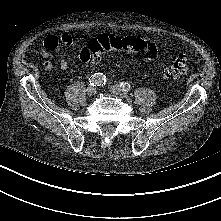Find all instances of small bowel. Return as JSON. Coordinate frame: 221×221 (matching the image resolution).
I'll list each match as a JSON object with an SVG mask.
<instances>
[{
    "mask_svg": "<svg viewBox=\"0 0 221 221\" xmlns=\"http://www.w3.org/2000/svg\"><path fill=\"white\" fill-rule=\"evenodd\" d=\"M83 41L84 39L79 40V42ZM60 43H63L70 47H73L75 45L73 39L68 35H61L58 37L48 36L44 39L41 55L45 58L43 64L45 69L52 70L54 68L55 62L53 61V51H55L58 48ZM146 43H147V47L145 50L146 59L148 62H154L157 58V47L155 43L150 40L146 41ZM84 48L85 47L82 46L78 47L79 56ZM57 66L61 70H66L68 68V62L65 59L61 58L58 60Z\"/></svg>",
    "mask_w": 221,
    "mask_h": 221,
    "instance_id": "small-bowel-1",
    "label": "small bowel"
}]
</instances>
